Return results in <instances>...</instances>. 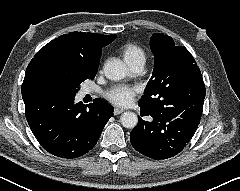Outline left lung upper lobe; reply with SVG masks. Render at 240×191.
I'll list each match as a JSON object with an SVG mask.
<instances>
[{
	"label": "left lung upper lobe",
	"mask_w": 240,
	"mask_h": 191,
	"mask_svg": "<svg viewBox=\"0 0 240 191\" xmlns=\"http://www.w3.org/2000/svg\"><path fill=\"white\" fill-rule=\"evenodd\" d=\"M150 47L155 55V66L141 102L177 96L193 79L202 78L190 52L183 46H176L170 36L153 34Z\"/></svg>",
	"instance_id": "1"
}]
</instances>
